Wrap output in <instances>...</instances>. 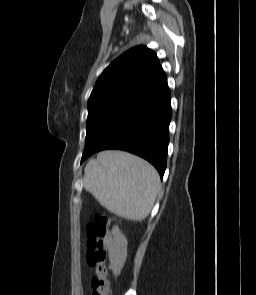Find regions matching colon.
I'll list each match as a JSON object with an SVG mask.
<instances>
[{
  "instance_id": "colon-1",
  "label": "colon",
  "mask_w": 256,
  "mask_h": 295,
  "mask_svg": "<svg viewBox=\"0 0 256 295\" xmlns=\"http://www.w3.org/2000/svg\"><path fill=\"white\" fill-rule=\"evenodd\" d=\"M111 221L112 219L108 215L97 213L86 226V260L95 269L91 283L92 295H111L105 244V237Z\"/></svg>"
}]
</instances>
